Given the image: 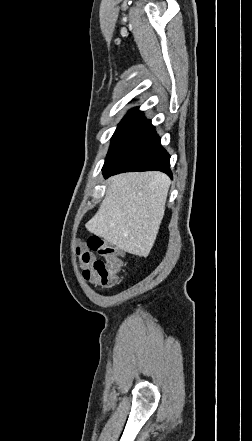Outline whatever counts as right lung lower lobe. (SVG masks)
Returning <instances> with one entry per match:
<instances>
[{
    "instance_id": "98d812e1",
    "label": "right lung lower lobe",
    "mask_w": 252,
    "mask_h": 441,
    "mask_svg": "<svg viewBox=\"0 0 252 441\" xmlns=\"http://www.w3.org/2000/svg\"><path fill=\"white\" fill-rule=\"evenodd\" d=\"M158 170L172 176L170 156L160 144L151 121L142 116L115 156L103 166V174Z\"/></svg>"
}]
</instances>
